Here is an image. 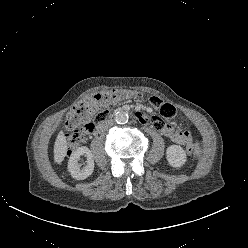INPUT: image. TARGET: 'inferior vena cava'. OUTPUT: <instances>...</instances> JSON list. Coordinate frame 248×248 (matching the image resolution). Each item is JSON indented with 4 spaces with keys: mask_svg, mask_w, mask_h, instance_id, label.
Listing matches in <instances>:
<instances>
[{
    "mask_svg": "<svg viewBox=\"0 0 248 248\" xmlns=\"http://www.w3.org/2000/svg\"><path fill=\"white\" fill-rule=\"evenodd\" d=\"M113 124H114V121L112 119H109V120L103 121L99 125V128L103 131V130H106V129H109L110 127H112Z\"/></svg>",
    "mask_w": 248,
    "mask_h": 248,
    "instance_id": "602c4592",
    "label": "inferior vena cava"
}]
</instances>
